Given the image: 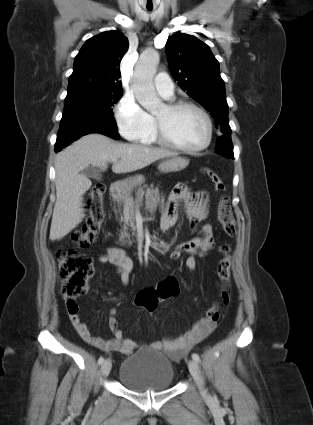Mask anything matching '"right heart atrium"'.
Wrapping results in <instances>:
<instances>
[{
  "instance_id": "obj_1",
  "label": "right heart atrium",
  "mask_w": 313,
  "mask_h": 425,
  "mask_svg": "<svg viewBox=\"0 0 313 425\" xmlns=\"http://www.w3.org/2000/svg\"><path fill=\"white\" fill-rule=\"evenodd\" d=\"M120 133L128 140L140 142L154 129L153 118L130 95H124L115 108Z\"/></svg>"
}]
</instances>
